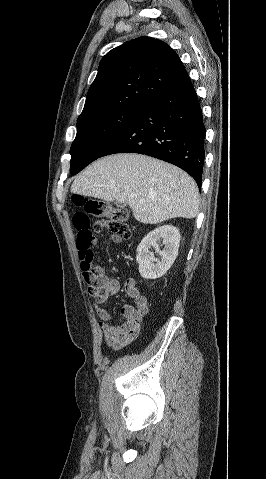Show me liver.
<instances>
[{
	"label": "liver",
	"instance_id": "liver-1",
	"mask_svg": "<svg viewBox=\"0 0 266 479\" xmlns=\"http://www.w3.org/2000/svg\"><path fill=\"white\" fill-rule=\"evenodd\" d=\"M71 192L126 203L134 218L144 224L177 217L192 219L199 213L198 188L186 172L139 154L98 159L74 180Z\"/></svg>",
	"mask_w": 266,
	"mask_h": 479
}]
</instances>
